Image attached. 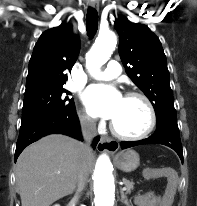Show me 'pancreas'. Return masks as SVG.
I'll list each match as a JSON object with an SVG mask.
<instances>
[{
	"label": "pancreas",
	"instance_id": "obj_1",
	"mask_svg": "<svg viewBox=\"0 0 197 206\" xmlns=\"http://www.w3.org/2000/svg\"><path fill=\"white\" fill-rule=\"evenodd\" d=\"M123 182L126 188V193H131V191L134 189V182L125 178L123 179Z\"/></svg>",
	"mask_w": 197,
	"mask_h": 206
}]
</instances>
